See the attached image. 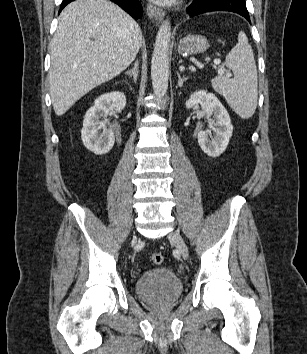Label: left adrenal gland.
<instances>
[{
    "label": "left adrenal gland",
    "instance_id": "1",
    "mask_svg": "<svg viewBox=\"0 0 307 354\" xmlns=\"http://www.w3.org/2000/svg\"><path fill=\"white\" fill-rule=\"evenodd\" d=\"M177 76H178V86H179V87H182L183 84H184V82L187 81L188 78H187V77H183V78H182V77L180 76L179 72H177Z\"/></svg>",
    "mask_w": 307,
    "mask_h": 354
}]
</instances>
